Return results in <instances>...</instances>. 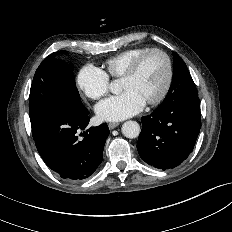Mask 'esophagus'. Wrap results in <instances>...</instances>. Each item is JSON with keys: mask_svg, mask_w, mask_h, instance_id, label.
Instances as JSON below:
<instances>
[{"mask_svg": "<svg viewBox=\"0 0 232 232\" xmlns=\"http://www.w3.org/2000/svg\"><path fill=\"white\" fill-rule=\"evenodd\" d=\"M117 126H119V123H117V122H110L109 124H108V127H109V129H114V128H116Z\"/></svg>", "mask_w": 232, "mask_h": 232, "instance_id": "esophagus-1", "label": "esophagus"}]
</instances>
